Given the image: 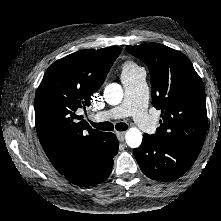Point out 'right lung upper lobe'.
Wrapping results in <instances>:
<instances>
[{
  "instance_id": "right-lung-upper-lobe-1",
  "label": "right lung upper lobe",
  "mask_w": 221,
  "mask_h": 221,
  "mask_svg": "<svg viewBox=\"0 0 221 221\" xmlns=\"http://www.w3.org/2000/svg\"><path fill=\"white\" fill-rule=\"evenodd\" d=\"M122 49L81 50L54 62L35 95L36 130L41 145L59 173L96 160L103 132L79 121L78 108L90 105Z\"/></svg>"
}]
</instances>
